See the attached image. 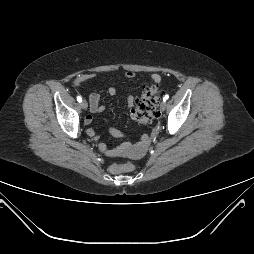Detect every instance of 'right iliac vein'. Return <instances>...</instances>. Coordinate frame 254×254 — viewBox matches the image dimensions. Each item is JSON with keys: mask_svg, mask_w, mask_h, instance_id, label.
Masks as SVG:
<instances>
[{"mask_svg": "<svg viewBox=\"0 0 254 254\" xmlns=\"http://www.w3.org/2000/svg\"><path fill=\"white\" fill-rule=\"evenodd\" d=\"M80 106L83 110H86L88 108V104L85 100L81 101Z\"/></svg>", "mask_w": 254, "mask_h": 254, "instance_id": "obj_1", "label": "right iliac vein"}]
</instances>
